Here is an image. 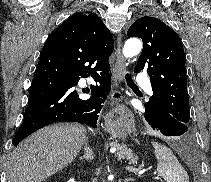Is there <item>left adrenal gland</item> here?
<instances>
[{"label":"left adrenal gland","instance_id":"obj_1","mask_svg":"<svg viewBox=\"0 0 211 182\" xmlns=\"http://www.w3.org/2000/svg\"><path fill=\"white\" fill-rule=\"evenodd\" d=\"M134 181L132 178H127L124 180V182Z\"/></svg>","mask_w":211,"mask_h":182}]
</instances>
